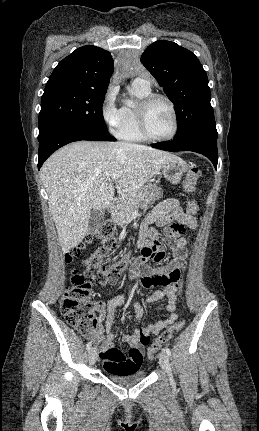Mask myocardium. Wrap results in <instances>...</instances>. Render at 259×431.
Instances as JSON below:
<instances>
[{"label": "myocardium", "mask_w": 259, "mask_h": 431, "mask_svg": "<svg viewBox=\"0 0 259 431\" xmlns=\"http://www.w3.org/2000/svg\"><path fill=\"white\" fill-rule=\"evenodd\" d=\"M157 100L164 101L170 108L173 116V129L171 133L166 137H155L153 136L148 128V110L150 106ZM136 117L137 124L141 134L146 138V140L151 142H166L172 140L179 128L178 114L172 100L166 95L159 93H151L146 97L142 98L136 106Z\"/></svg>", "instance_id": "1"}]
</instances>
